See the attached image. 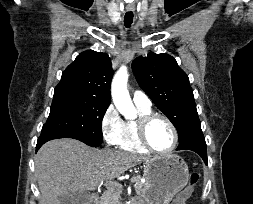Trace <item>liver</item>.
I'll return each instance as SVG.
<instances>
[{
	"label": "liver",
	"mask_w": 253,
	"mask_h": 204,
	"mask_svg": "<svg viewBox=\"0 0 253 204\" xmlns=\"http://www.w3.org/2000/svg\"><path fill=\"white\" fill-rule=\"evenodd\" d=\"M147 161L144 156L110 148L96 149L74 139L49 141L35 158L39 204H60L59 197L68 193L94 191L104 181Z\"/></svg>",
	"instance_id": "6515ba94"
}]
</instances>
